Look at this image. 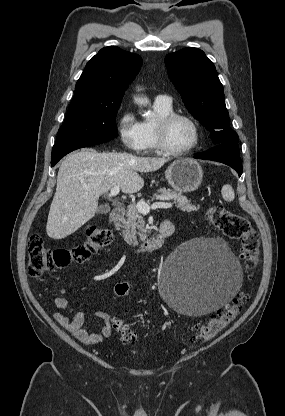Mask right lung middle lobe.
Wrapping results in <instances>:
<instances>
[{"label": "right lung middle lobe", "mask_w": 285, "mask_h": 416, "mask_svg": "<svg viewBox=\"0 0 285 416\" xmlns=\"http://www.w3.org/2000/svg\"><path fill=\"white\" fill-rule=\"evenodd\" d=\"M121 100L82 102L73 100L66 119L57 134L65 139H112L117 137L116 114Z\"/></svg>", "instance_id": "right-lung-middle-lobe-1"}]
</instances>
